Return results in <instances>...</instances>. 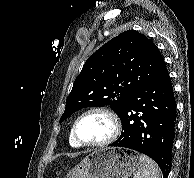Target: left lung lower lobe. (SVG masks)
Wrapping results in <instances>:
<instances>
[{
	"mask_svg": "<svg viewBox=\"0 0 194 178\" xmlns=\"http://www.w3.org/2000/svg\"><path fill=\"white\" fill-rule=\"evenodd\" d=\"M117 115L123 132L110 146L146 154L159 165L163 178H167L171 170L177 116L167 68L129 95L120 105Z\"/></svg>",
	"mask_w": 194,
	"mask_h": 178,
	"instance_id": "0a47b994",
	"label": "left lung lower lobe"
}]
</instances>
